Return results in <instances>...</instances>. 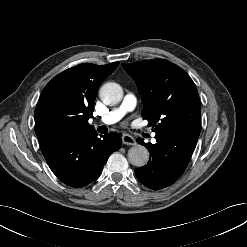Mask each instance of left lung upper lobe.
<instances>
[{"instance_id":"left-lung-upper-lobe-1","label":"left lung upper lobe","mask_w":247,"mask_h":247,"mask_svg":"<svg viewBox=\"0 0 247 247\" xmlns=\"http://www.w3.org/2000/svg\"><path fill=\"white\" fill-rule=\"evenodd\" d=\"M122 66L137 83L144 103L142 116L156 134L178 128L199 137V95L183 69L163 59L123 63Z\"/></svg>"}]
</instances>
